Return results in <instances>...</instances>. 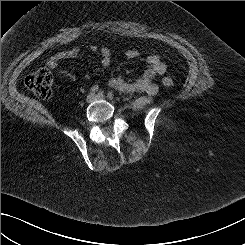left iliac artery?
<instances>
[{
	"mask_svg": "<svg viewBox=\"0 0 245 245\" xmlns=\"http://www.w3.org/2000/svg\"><path fill=\"white\" fill-rule=\"evenodd\" d=\"M107 97L112 100L114 99V94L112 92H108Z\"/></svg>",
	"mask_w": 245,
	"mask_h": 245,
	"instance_id": "left-iliac-artery-1",
	"label": "left iliac artery"
}]
</instances>
